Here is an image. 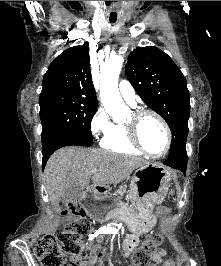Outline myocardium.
Segmentation results:
<instances>
[{"label":"myocardium","instance_id":"obj_1","mask_svg":"<svg viewBox=\"0 0 221 266\" xmlns=\"http://www.w3.org/2000/svg\"><path fill=\"white\" fill-rule=\"evenodd\" d=\"M150 115L155 117L159 123L162 125L165 135H166V143L164 149L160 153H151L149 152L141 143L140 138H139V123L144 118L145 116ZM129 139L131 143L144 155L154 158V159H159L164 157L170 150L171 147V142H172V135L170 128L165 121V119L158 114L157 112L150 110V109H140L137 111H134L131 115V119L125 123Z\"/></svg>","mask_w":221,"mask_h":266}]
</instances>
